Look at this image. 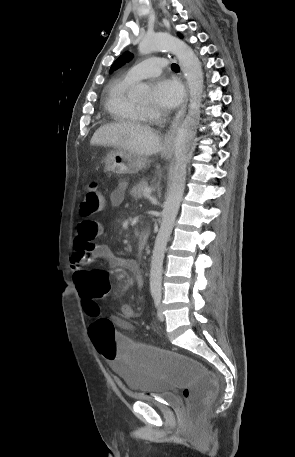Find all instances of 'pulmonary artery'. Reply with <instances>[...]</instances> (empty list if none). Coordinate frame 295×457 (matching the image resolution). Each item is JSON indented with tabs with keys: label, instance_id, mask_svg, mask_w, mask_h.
Wrapping results in <instances>:
<instances>
[{
	"label": "pulmonary artery",
	"instance_id": "obj_1",
	"mask_svg": "<svg viewBox=\"0 0 295 457\" xmlns=\"http://www.w3.org/2000/svg\"><path fill=\"white\" fill-rule=\"evenodd\" d=\"M166 66V59L151 57L131 67L126 76L132 80L139 81L159 75L162 69Z\"/></svg>",
	"mask_w": 295,
	"mask_h": 457
}]
</instances>
